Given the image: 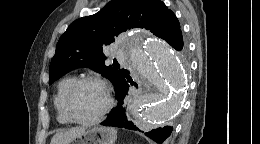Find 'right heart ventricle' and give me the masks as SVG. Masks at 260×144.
Masks as SVG:
<instances>
[{
	"instance_id": "e07e8e85",
	"label": "right heart ventricle",
	"mask_w": 260,
	"mask_h": 144,
	"mask_svg": "<svg viewBox=\"0 0 260 144\" xmlns=\"http://www.w3.org/2000/svg\"><path fill=\"white\" fill-rule=\"evenodd\" d=\"M75 80L76 78L73 76H68L61 79L57 85L56 93L54 96L53 104L56 112V119L60 124L63 125H67L70 123L63 112V98L67 90Z\"/></svg>"
}]
</instances>
